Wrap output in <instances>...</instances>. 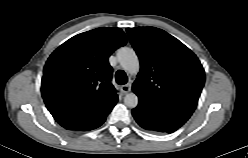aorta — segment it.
I'll list each match as a JSON object with an SVG mask.
<instances>
[{
    "instance_id": "obj_1",
    "label": "aorta",
    "mask_w": 248,
    "mask_h": 158,
    "mask_svg": "<svg viewBox=\"0 0 248 158\" xmlns=\"http://www.w3.org/2000/svg\"><path fill=\"white\" fill-rule=\"evenodd\" d=\"M117 57L120 65L126 72L136 74L139 71V59L132 48L121 47L117 52ZM138 102V96L133 92L126 94L124 97V104L127 107L135 108Z\"/></svg>"
}]
</instances>
